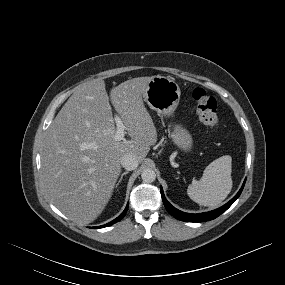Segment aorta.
Segmentation results:
<instances>
[{
	"mask_svg": "<svg viewBox=\"0 0 285 285\" xmlns=\"http://www.w3.org/2000/svg\"><path fill=\"white\" fill-rule=\"evenodd\" d=\"M141 178L146 183H152L156 179V173L153 169L146 168L142 171Z\"/></svg>",
	"mask_w": 285,
	"mask_h": 285,
	"instance_id": "1",
	"label": "aorta"
}]
</instances>
